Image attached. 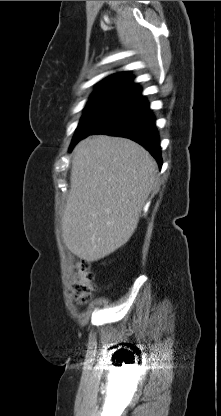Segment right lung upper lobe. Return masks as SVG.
Segmentation results:
<instances>
[{"instance_id": "right-lung-upper-lobe-1", "label": "right lung upper lobe", "mask_w": 221, "mask_h": 416, "mask_svg": "<svg viewBox=\"0 0 221 416\" xmlns=\"http://www.w3.org/2000/svg\"><path fill=\"white\" fill-rule=\"evenodd\" d=\"M129 72H120L106 77L98 83L94 95H115L128 98L141 92V88L132 82Z\"/></svg>"}]
</instances>
